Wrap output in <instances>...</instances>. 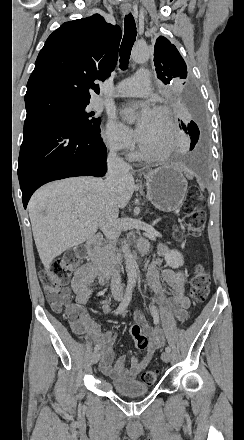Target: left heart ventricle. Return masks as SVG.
Listing matches in <instances>:
<instances>
[{"instance_id": "obj_1", "label": "left heart ventricle", "mask_w": 244, "mask_h": 440, "mask_svg": "<svg viewBox=\"0 0 244 440\" xmlns=\"http://www.w3.org/2000/svg\"><path fill=\"white\" fill-rule=\"evenodd\" d=\"M168 117L165 113L153 111L146 125L141 128L148 145H157L165 136L168 127Z\"/></svg>"}]
</instances>
